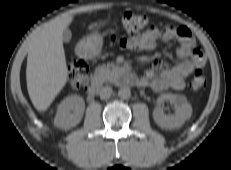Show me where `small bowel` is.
<instances>
[{"mask_svg":"<svg viewBox=\"0 0 231 170\" xmlns=\"http://www.w3.org/2000/svg\"><path fill=\"white\" fill-rule=\"evenodd\" d=\"M112 41L122 48L134 51L153 50L158 42H178L177 55L180 61L171 67L156 64L142 74L139 84L148 86L156 91L182 90L185 87V78L194 69L201 68L205 63V55L193 39L191 31L182 25H169L162 29L155 26L147 31L131 37L111 36Z\"/></svg>","mask_w":231,"mask_h":170,"instance_id":"c3829d8e","label":"small bowel"}]
</instances>
